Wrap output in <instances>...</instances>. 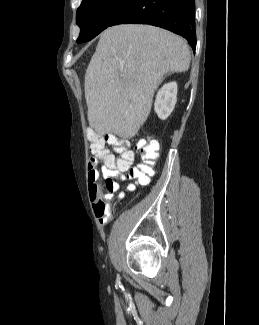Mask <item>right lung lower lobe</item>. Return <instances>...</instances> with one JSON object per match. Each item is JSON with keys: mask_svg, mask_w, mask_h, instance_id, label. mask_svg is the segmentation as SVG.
I'll use <instances>...</instances> for the list:
<instances>
[{"mask_svg": "<svg viewBox=\"0 0 259 325\" xmlns=\"http://www.w3.org/2000/svg\"><path fill=\"white\" fill-rule=\"evenodd\" d=\"M150 24L183 36L196 47L194 0H127L109 26Z\"/></svg>", "mask_w": 259, "mask_h": 325, "instance_id": "1", "label": "right lung lower lobe"}]
</instances>
